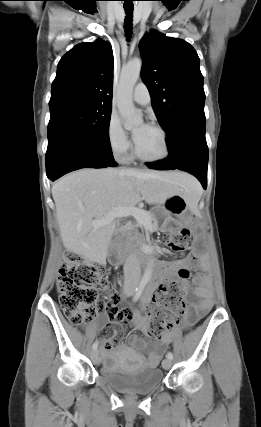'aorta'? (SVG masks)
I'll use <instances>...</instances> for the list:
<instances>
[{
	"instance_id": "aorta-1",
	"label": "aorta",
	"mask_w": 261,
	"mask_h": 427,
	"mask_svg": "<svg viewBox=\"0 0 261 427\" xmlns=\"http://www.w3.org/2000/svg\"><path fill=\"white\" fill-rule=\"evenodd\" d=\"M142 60L134 58L122 68L117 89L118 110L124 119V127L132 129L143 123L132 100L133 88L140 76ZM153 266L150 263L143 274V279L149 281L152 277Z\"/></svg>"
}]
</instances>
